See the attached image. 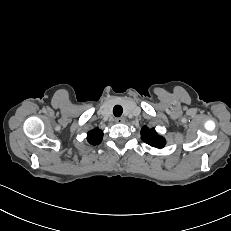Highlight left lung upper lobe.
Segmentation results:
<instances>
[{
	"label": "left lung upper lobe",
	"mask_w": 231,
	"mask_h": 231,
	"mask_svg": "<svg viewBox=\"0 0 231 231\" xmlns=\"http://www.w3.org/2000/svg\"><path fill=\"white\" fill-rule=\"evenodd\" d=\"M141 139L156 148H163L166 144L165 139L158 135L154 128L149 129L147 126L141 129Z\"/></svg>",
	"instance_id": "obj_1"
}]
</instances>
